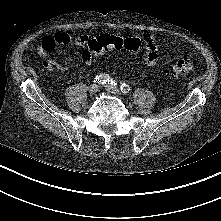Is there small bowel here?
<instances>
[{"label":"small bowel","mask_w":221,"mask_h":221,"mask_svg":"<svg viewBox=\"0 0 221 221\" xmlns=\"http://www.w3.org/2000/svg\"><path fill=\"white\" fill-rule=\"evenodd\" d=\"M91 39L92 38L86 34H79L71 38L65 33L45 37L37 49L38 54L45 58L42 63L43 68L46 70L57 69L59 71H66L68 68L67 64L49 58V53L59 44H69L73 42L77 46H86ZM144 44V64L146 66L156 65L158 61V50L155 40L152 37H146L144 39ZM82 61L85 64L90 65L93 62V58L84 59L82 57Z\"/></svg>","instance_id":"c3829d8e"}]
</instances>
